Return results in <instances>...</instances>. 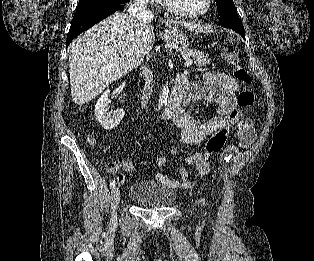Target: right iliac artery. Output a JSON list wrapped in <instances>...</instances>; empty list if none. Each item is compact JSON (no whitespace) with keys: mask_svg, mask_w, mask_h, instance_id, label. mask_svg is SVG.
<instances>
[{"mask_svg":"<svg viewBox=\"0 0 314 261\" xmlns=\"http://www.w3.org/2000/svg\"><path fill=\"white\" fill-rule=\"evenodd\" d=\"M115 187V180H112L111 182H110V188H114Z\"/></svg>","mask_w":314,"mask_h":261,"instance_id":"obj_1","label":"right iliac artery"}]
</instances>
